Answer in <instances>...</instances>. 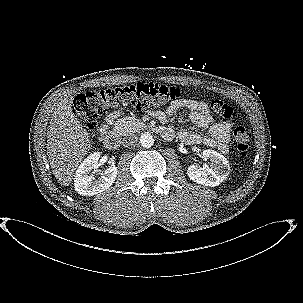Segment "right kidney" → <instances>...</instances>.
<instances>
[{"label":"right kidney","instance_id":"right-kidney-1","mask_svg":"<svg viewBox=\"0 0 303 303\" xmlns=\"http://www.w3.org/2000/svg\"><path fill=\"white\" fill-rule=\"evenodd\" d=\"M99 158L100 153L94 152L79 165L74 178V187L78 194L93 196L105 191L114 183L117 176L115 166H110L103 171L98 180L90 175L91 170L99 168Z\"/></svg>","mask_w":303,"mask_h":303}]
</instances>
